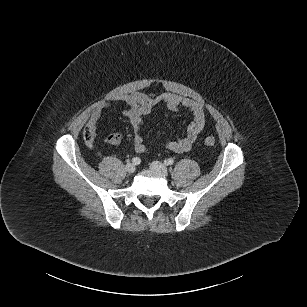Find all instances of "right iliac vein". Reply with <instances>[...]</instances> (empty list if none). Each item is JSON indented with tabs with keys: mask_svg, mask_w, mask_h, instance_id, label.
I'll list each match as a JSON object with an SVG mask.
<instances>
[{
	"mask_svg": "<svg viewBox=\"0 0 307 307\" xmlns=\"http://www.w3.org/2000/svg\"><path fill=\"white\" fill-rule=\"evenodd\" d=\"M125 169L128 173H133V172H135L136 168H135L134 164L128 163V164H126Z\"/></svg>",
	"mask_w": 307,
	"mask_h": 307,
	"instance_id": "63e3f726",
	"label": "right iliac vein"
}]
</instances>
